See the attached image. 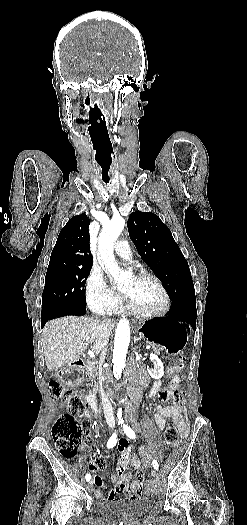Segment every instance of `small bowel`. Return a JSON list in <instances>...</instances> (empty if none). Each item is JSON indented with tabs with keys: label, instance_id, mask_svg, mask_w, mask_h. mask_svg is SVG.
<instances>
[{
	"label": "small bowel",
	"instance_id": "1",
	"mask_svg": "<svg viewBox=\"0 0 247 525\" xmlns=\"http://www.w3.org/2000/svg\"><path fill=\"white\" fill-rule=\"evenodd\" d=\"M179 386L180 379L177 375H174L168 386L174 389L176 392V395L174 396V402L172 405H164L159 403L156 407L154 419L159 430H163L165 428L167 419H172L177 424L180 435L185 436L187 434V425L184 418L182 400L178 390ZM159 388L160 383L155 382L148 392V398H154L158 394ZM90 416L91 414L89 413L88 417ZM117 446L119 450L117 468L116 472L111 477V481L115 485V489L110 491L107 495L103 493L106 490L104 482L102 481L103 476L101 474L96 475L97 469L102 470L106 466L104 457L99 455L95 449H92L90 453L92 462L88 465L89 471L93 474L94 486L99 488V490L95 491V495L99 499H105V503L108 506H115L118 503L116 494L122 493L131 487L129 484L131 477L130 473L128 472L129 466L133 467L135 470H138L142 463L145 466H149L153 459H160L161 457L160 452L155 448H142L140 451V456L138 454L132 453L125 438L119 439ZM82 450V459H86L88 456V446L86 443H83ZM140 496L130 495L128 500L136 501L140 498Z\"/></svg>",
	"mask_w": 247,
	"mask_h": 525
}]
</instances>
